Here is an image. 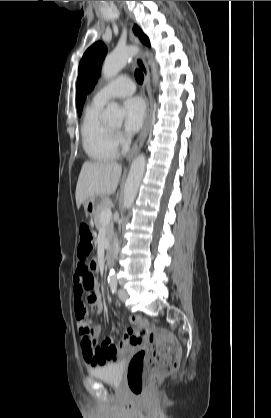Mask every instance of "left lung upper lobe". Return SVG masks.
Masks as SVG:
<instances>
[{
    "label": "left lung upper lobe",
    "mask_w": 271,
    "mask_h": 418,
    "mask_svg": "<svg viewBox=\"0 0 271 418\" xmlns=\"http://www.w3.org/2000/svg\"><path fill=\"white\" fill-rule=\"evenodd\" d=\"M134 33L139 36L144 44L150 46L148 37L144 35L140 28L135 26ZM106 52L107 48L104 43L96 42L87 49L80 61L76 86V104L79 115L81 114L87 93L93 89L100 75L102 61Z\"/></svg>",
    "instance_id": "5c2ea615"
}]
</instances>
